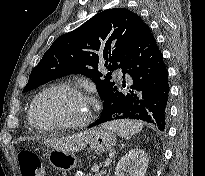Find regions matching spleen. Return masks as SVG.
Here are the masks:
<instances>
[{
	"instance_id": "spleen-1",
	"label": "spleen",
	"mask_w": 205,
	"mask_h": 176,
	"mask_svg": "<svg viewBox=\"0 0 205 176\" xmlns=\"http://www.w3.org/2000/svg\"><path fill=\"white\" fill-rule=\"evenodd\" d=\"M102 126L117 133V135H119L120 137H128L134 135L136 133H139L143 128L142 123L126 119L111 121L105 123Z\"/></svg>"
}]
</instances>
